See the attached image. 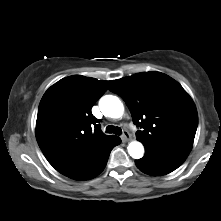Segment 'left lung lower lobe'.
I'll return each mask as SVG.
<instances>
[{"label":"left lung lower lobe","instance_id":"left-lung-lower-lobe-1","mask_svg":"<svg viewBox=\"0 0 221 221\" xmlns=\"http://www.w3.org/2000/svg\"><path fill=\"white\" fill-rule=\"evenodd\" d=\"M190 146H171L164 148H145L143 158L136 160V166L144 173L160 176L177 169L191 151Z\"/></svg>","mask_w":221,"mask_h":221}]
</instances>
